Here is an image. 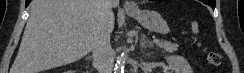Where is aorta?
<instances>
[{"mask_svg": "<svg viewBox=\"0 0 244 73\" xmlns=\"http://www.w3.org/2000/svg\"><path fill=\"white\" fill-rule=\"evenodd\" d=\"M127 57V50L124 49L123 53L118 57L117 62L115 64L114 71L115 73H124L125 62Z\"/></svg>", "mask_w": 244, "mask_h": 73, "instance_id": "762f6f07", "label": "aorta"}]
</instances>
